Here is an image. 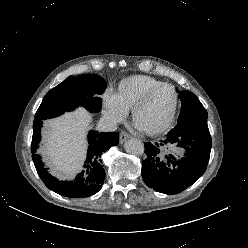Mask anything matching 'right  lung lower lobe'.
<instances>
[{
    "label": "right lung lower lobe",
    "instance_id": "obj_1",
    "mask_svg": "<svg viewBox=\"0 0 248 248\" xmlns=\"http://www.w3.org/2000/svg\"><path fill=\"white\" fill-rule=\"evenodd\" d=\"M41 126L42 120H34L31 152L37 173L45 185L52 191L66 197L81 198L96 194L102 188L105 178V172L101 165V155L118 144V133L90 131L88 135V154L84 165L85 171L78 174L74 181L60 182L47 172L40 155L36 152L41 137Z\"/></svg>",
    "mask_w": 248,
    "mask_h": 248
}]
</instances>
